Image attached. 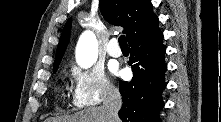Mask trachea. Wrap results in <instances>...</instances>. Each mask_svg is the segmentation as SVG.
Masks as SVG:
<instances>
[{"label":"trachea","mask_w":221,"mask_h":122,"mask_svg":"<svg viewBox=\"0 0 221 122\" xmlns=\"http://www.w3.org/2000/svg\"><path fill=\"white\" fill-rule=\"evenodd\" d=\"M118 41H119V44H120L121 47H128L127 41H126V38H125L124 35H121L119 37Z\"/></svg>","instance_id":"trachea-1"}]
</instances>
